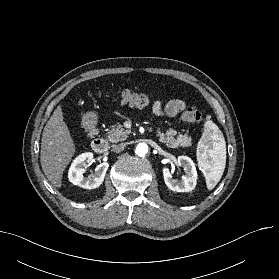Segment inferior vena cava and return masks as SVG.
Instances as JSON below:
<instances>
[{
    "label": "inferior vena cava",
    "instance_id": "obj_1",
    "mask_svg": "<svg viewBox=\"0 0 279 279\" xmlns=\"http://www.w3.org/2000/svg\"><path fill=\"white\" fill-rule=\"evenodd\" d=\"M124 148H125V144L120 143V144L114 145L113 148H112V151L115 152V153H119V152L123 151Z\"/></svg>",
    "mask_w": 279,
    "mask_h": 279
}]
</instances>
